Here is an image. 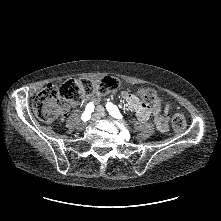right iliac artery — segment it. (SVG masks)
<instances>
[{
  "label": "right iliac artery",
  "mask_w": 221,
  "mask_h": 221,
  "mask_svg": "<svg viewBox=\"0 0 221 221\" xmlns=\"http://www.w3.org/2000/svg\"><path fill=\"white\" fill-rule=\"evenodd\" d=\"M94 111V104L90 102L87 106L85 111L82 114L81 119L83 121H88L91 118V113Z\"/></svg>",
  "instance_id": "obj_1"
}]
</instances>
